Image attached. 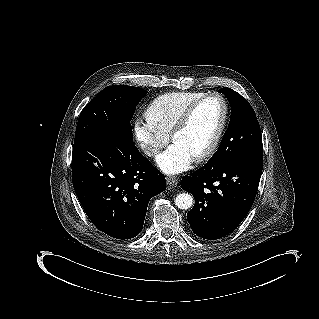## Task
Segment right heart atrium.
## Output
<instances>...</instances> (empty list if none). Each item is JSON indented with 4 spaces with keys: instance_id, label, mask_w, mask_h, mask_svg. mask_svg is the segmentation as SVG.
<instances>
[{
    "instance_id": "obj_1",
    "label": "right heart atrium",
    "mask_w": 319,
    "mask_h": 319,
    "mask_svg": "<svg viewBox=\"0 0 319 319\" xmlns=\"http://www.w3.org/2000/svg\"><path fill=\"white\" fill-rule=\"evenodd\" d=\"M136 137L139 144L151 154H158L168 141L164 132L154 130L145 124L136 128Z\"/></svg>"
}]
</instances>
